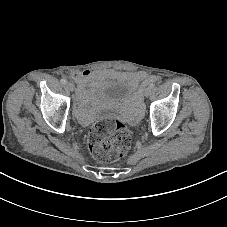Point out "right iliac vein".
Listing matches in <instances>:
<instances>
[{"mask_svg":"<svg viewBox=\"0 0 227 227\" xmlns=\"http://www.w3.org/2000/svg\"><path fill=\"white\" fill-rule=\"evenodd\" d=\"M66 88L69 89L70 91H73L74 90V84L69 82V83H67Z\"/></svg>","mask_w":227,"mask_h":227,"instance_id":"obj_1","label":"right iliac vein"}]
</instances>
